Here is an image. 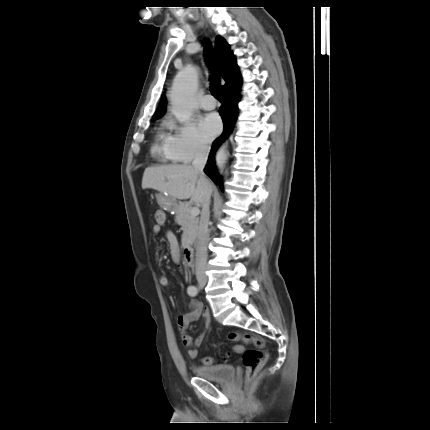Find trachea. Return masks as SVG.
<instances>
[{
  "label": "trachea",
  "instance_id": "obj_1",
  "mask_svg": "<svg viewBox=\"0 0 430 430\" xmlns=\"http://www.w3.org/2000/svg\"><path fill=\"white\" fill-rule=\"evenodd\" d=\"M207 56V64L208 67L211 68V70L214 71V75H212L210 77V91L212 93V95L217 98V99H223V94H222V90H221V78L218 75L217 72V64L213 59H210L211 57H209L210 55V48L206 47V54Z\"/></svg>",
  "mask_w": 430,
  "mask_h": 430
}]
</instances>
